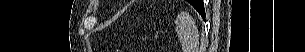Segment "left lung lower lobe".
<instances>
[{
    "label": "left lung lower lobe",
    "instance_id": "left-lung-lower-lobe-1",
    "mask_svg": "<svg viewBox=\"0 0 305 52\" xmlns=\"http://www.w3.org/2000/svg\"><path fill=\"white\" fill-rule=\"evenodd\" d=\"M200 6H198L197 8H194L199 12V14L202 16L203 19H205V10H204V5H203V1L199 0Z\"/></svg>",
    "mask_w": 305,
    "mask_h": 52
}]
</instances>
